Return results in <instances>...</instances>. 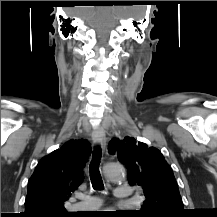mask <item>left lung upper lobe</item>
Listing matches in <instances>:
<instances>
[{"instance_id": "5c2ea615", "label": "left lung upper lobe", "mask_w": 217, "mask_h": 217, "mask_svg": "<svg viewBox=\"0 0 217 217\" xmlns=\"http://www.w3.org/2000/svg\"><path fill=\"white\" fill-rule=\"evenodd\" d=\"M109 150L126 166L129 184L142 187L143 217H182L183 202L173 171L158 149L127 136L112 139Z\"/></svg>"}]
</instances>
